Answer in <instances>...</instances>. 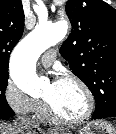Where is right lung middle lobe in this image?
<instances>
[{
  "label": "right lung middle lobe",
  "instance_id": "right-lung-middle-lobe-1",
  "mask_svg": "<svg viewBox=\"0 0 116 134\" xmlns=\"http://www.w3.org/2000/svg\"><path fill=\"white\" fill-rule=\"evenodd\" d=\"M8 78V73H0V118H4V116L13 112L5 98V90L8 84Z\"/></svg>",
  "mask_w": 116,
  "mask_h": 134
}]
</instances>
